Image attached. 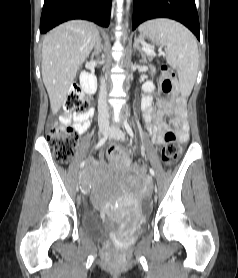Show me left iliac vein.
<instances>
[{"label": "left iliac vein", "mask_w": 238, "mask_h": 278, "mask_svg": "<svg viewBox=\"0 0 238 278\" xmlns=\"http://www.w3.org/2000/svg\"><path fill=\"white\" fill-rule=\"evenodd\" d=\"M110 138L115 140H124L125 133L118 127H112L110 129ZM159 185H155V194H158Z\"/></svg>", "instance_id": "4c4485c4"}]
</instances>
